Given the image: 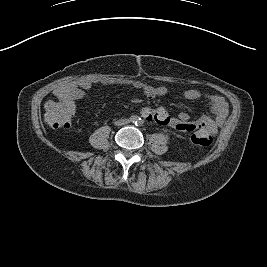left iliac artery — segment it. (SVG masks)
Instances as JSON below:
<instances>
[{
  "mask_svg": "<svg viewBox=\"0 0 267 267\" xmlns=\"http://www.w3.org/2000/svg\"><path fill=\"white\" fill-rule=\"evenodd\" d=\"M144 123V120H142L141 118L139 119V121L137 122L136 126H142Z\"/></svg>",
  "mask_w": 267,
  "mask_h": 267,
  "instance_id": "44dca946",
  "label": "left iliac artery"
}]
</instances>
